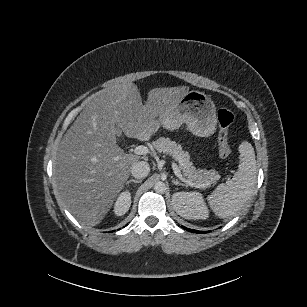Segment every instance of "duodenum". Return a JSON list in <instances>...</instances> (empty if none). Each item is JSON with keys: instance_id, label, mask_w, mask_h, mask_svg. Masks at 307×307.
<instances>
[{"instance_id": "1", "label": "duodenum", "mask_w": 307, "mask_h": 307, "mask_svg": "<svg viewBox=\"0 0 307 307\" xmlns=\"http://www.w3.org/2000/svg\"><path fill=\"white\" fill-rule=\"evenodd\" d=\"M138 138L140 139V140H145L146 139V135L145 134H140L139 136H138Z\"/></svg>"}]
</instances>
